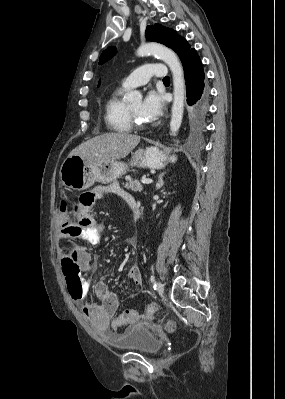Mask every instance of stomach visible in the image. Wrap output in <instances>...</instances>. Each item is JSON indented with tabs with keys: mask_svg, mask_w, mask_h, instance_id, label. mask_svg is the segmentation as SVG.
Segmentation results:
<instances>
[{
	"mask_svg": "<svg viewBox=\"0 0 285 399\" xmlns=\"http://www.w3.org/2000/svg\"><path fill=\"white\" fill-rule=\"evenodd\" d=\"M174 162L176 158H168L156 147H148L137 151L132 164L161 169L166 161ZM128 165L116 160L91 162L80 156H68L61 165V183L73 190L81 191L91 187L95 182L109 183L126 173Z\"/></svg>",
	"mask_w": 285,
	"mask_h": 399,
	"instance_id": "stomach-1",
	"label": "stomach"
}]
</instances>
